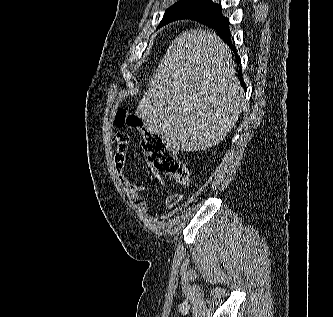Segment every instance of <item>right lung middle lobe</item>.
I'll list each match as a JSON object with an SVG mask.
<instances>
[{
    "mask_svg": "<svg viewBox=\"0 0 333 317\" xmlns=\"http://www.w3.org/2000/svg\"><path fill=\"white\" fill-rule=\"evenodd\" d=\"M219 9H221V5L212 3L211 0H179L166 10L160 25L201 14H209Z\"/></svg>",
    "mask_w": 333,
    "mask_h": 317,
    "instance_id": "right-lung-middle-lobe-1",
    "label": "right lung middle lobe"
}]
</instances>
